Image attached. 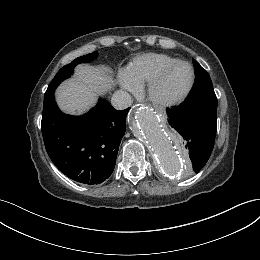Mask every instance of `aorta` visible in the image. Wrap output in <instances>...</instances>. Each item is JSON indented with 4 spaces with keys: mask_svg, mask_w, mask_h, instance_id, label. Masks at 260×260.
I'll use <instances>...</instances> for the list:
<instances>
[{
    "mask_svg": "<svg viewBox=\"0 0 260 260\" xmlns=\"http://www.w3.org/2000/svg\"><path fill=\"white\" fill-rule=\"evenodd\" d=\"M130 125L134 135L147 146L166 174L172 176L186 169L180 140L167 132L152 110L147 107L137 109L130 116Z\"/></svg>",
    "mask_w": 260,
    "mask_h": 260,
    "instance_id": "762f6f07",
    "label": "aorta"
}]
</instances>
